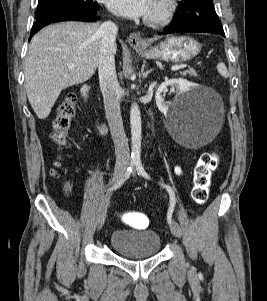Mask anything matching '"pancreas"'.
Returning a JSON list of instances; mask_svg holds the SVG:
<instances>
[{
	"mask_svg": "<svg viewBox=\"0 0 267 301\" xmlns=\"http://www.w3.org/2000/svg\"><path fill=\"white\" fill-rule=\"evenodd\" d=\"M182 75L186 76V75H190V76H193V77H197L198 74L196 73L195 70L193 69H189V70H185Z\"/></svg>",
	"mask_w": 267,
	"mask_h": 301,
	"instance_id": "obj_1",
	"label": "pancreas"
}]
</instances>
